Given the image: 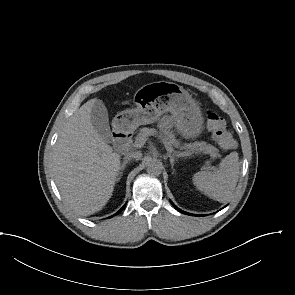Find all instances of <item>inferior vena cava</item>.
Wrapping results in <instances>:
<instances>
[{"instance_id": "inferior-vena-cava-1", "label": "inferior vena cava", "mask_w": 295, "mask_h": 295, "mask_svg": "<svg viewBox=\"0 0 295 295\" xmlns=\"http://www.w3.org/2000/svg\"><path fill=\"white\" fill-rule=\"evenodd\" d=\"M142 157V153L140 151H132L129 152L126 156H125V160H131V159H136L139 160Z\"/></svg>"}]
</instances>
